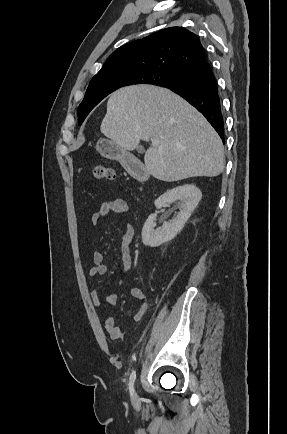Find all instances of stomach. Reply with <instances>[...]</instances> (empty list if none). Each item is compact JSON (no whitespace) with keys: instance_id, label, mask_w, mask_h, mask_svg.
Masks as SVG:
<instances>
[{"instance_id":"stomach-1","label":"stomach","mask_w":287,"mask_h":434,"mask_svg":"<svg viewBox=\"0 0 287 434\" xmlns=\"http://www.w3.org/2000/svg\"><path fill=\"white\" fill-rule=\"evenodd\" d=\"M96 149L104 157L111 160H117L124 166H128V162L132 157L128 151L121 148L115 142L106 139H100L97 142Z\"/></svg>"}]
</instances>
